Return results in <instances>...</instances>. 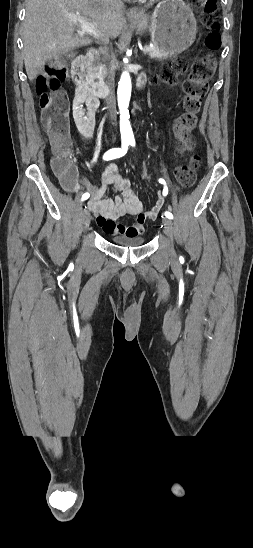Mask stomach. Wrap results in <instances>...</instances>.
<instances>
[{
	"mask_svg": "<svg viewBox=\"0 0 253 548\" xmlns=\"http://www.w3.org/2000/svg\"><path fill=\"white\" fill-rule=\"evenodd\" d=\"M131 22L139 34L149 32L154 45L171 54L187 50L197 33L196 19L183 0H163L151 15Z\"/></svg>",
	"mask_w": 253,
	"mask_h": 548,
	"instance_id": "0dacf381",
	"label": "stomach"
}]
</instances>
